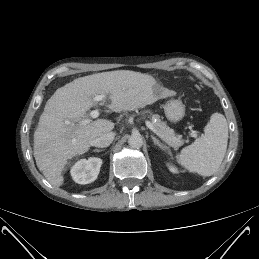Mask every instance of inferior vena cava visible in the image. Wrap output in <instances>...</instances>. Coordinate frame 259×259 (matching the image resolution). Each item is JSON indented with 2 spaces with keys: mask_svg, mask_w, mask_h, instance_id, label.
<instances>
[{
  "mask_svg": "<svg viewBox=\"0 0 259 259\" xmlns=\"http://www.w3.org/2000/svg\"><path fill=\"white\" fill-rule=\"evenodd\" d=\"M114 137H115L114 132L104 133L100 137L94 139L91 145L99 148L108 147L114 140Z\"/></svg>",
  "mask_w": 259,
  "mask_h": 259,
  "instance_id": "1",
  "label": "inferior vena cava"
}]
</instances>
